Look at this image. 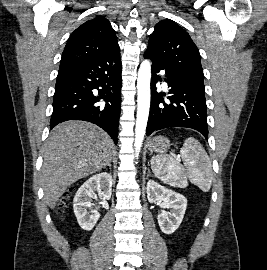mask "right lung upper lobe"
Here are the masks:
<instances>
[{
    "mask_svg": "<svg viewBox=\"0 0 267 270\" xmlns=\"http://www.w3.org/2000/svg\"><path fill=\"white\" fill-rule=\"evenodd\" d=\"M110 22L97 16L79 26L69 37L62 54L60 68L78 65L119 52Z\"/></svg>",
    "mask_w": 267,
    "mask_h": 270,
    "instance_id": "right-lung-upper-lobe-1",
    "label": "right lung upper lobe"
}]
</instances>
